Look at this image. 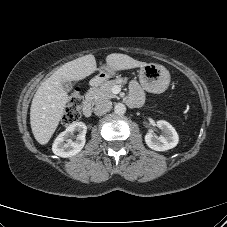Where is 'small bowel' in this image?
Instances as JSON below:
<instances>
[{
	"label": "small bowel",
	"instance_id": "small-bowel-1",
	"mask_svg": "<svg viewBox=\"0 0 227 227\" xmlns=\"http://www.w3.org/2000/svg\"><path fill=\"white\" fill-rule=\"evenodd\" d=\"M143 101V92L137 82H132L130 86L129 102L132 105H140Z\"/></svg>",
	"mask_w": 227,
	"mask_h": 227
}]
</instances>
